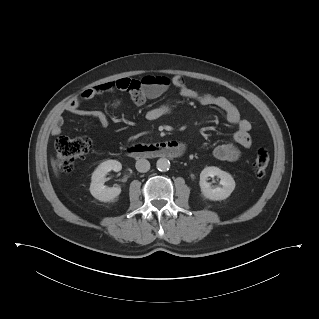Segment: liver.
Segmentation results:
<instances>
[{
	"instance_id": "liver-1",
	"label": "liver",
	"mask_w": 319,
	"mask_h": 319,
	"mask_svg": "<svg viewBox=\"0 0 319 319\" xmlns=\"http://www.w3.org/2000/svg\"><path fill=\"white\" fill-rule=\"evenodd\" d=\"M51 164H52V167H53V170H54L55 175L58 176L56 164H55V161H54L53 158L51 159Z\"/></svg>"
}]
</instances>
